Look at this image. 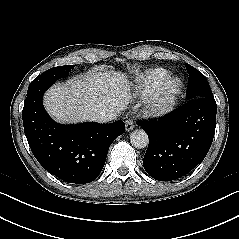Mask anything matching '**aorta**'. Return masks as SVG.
Instances as JSON below:
<instances>
[{
	"instance_id": "1",
	"label": "aorta",
	"mask_w": 239,
	"mask_h": 239,
	"mask_svg": "<svg viewBox=\"0 0 239 239\" xmlns=\"http://www.w3.org/2000/svg\"><path fill=\"white\" fill-rule=\"evenodd\" d=\"M130 142L135 148H145L149 142L148 135L144 130H134L130 135Z\"/></svg>"
}]
</instances>
